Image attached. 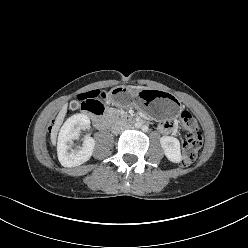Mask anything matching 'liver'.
<instances>
[{
  "label": "liver",
  "mask_w": 248,
  "mask_h": 248,
  "mask_svg": "<svg viewBox=\"0 0 248 248\" xmlns=\"http://www.w3.org/2000/svg\"><path fill=\"white\" fill-rule=\"evenodd\" d=\"M135 89H147L146 87H141V86H136V87H132ZM65 113H66V105L61 109V111L59 112L55 124L52 127V131H51V142L53 145L56 144V138H57V134L59 131V128L64 120L65 117Z\"/></svg>",
  "instance_id": "obj_1"
}]
</instances>
